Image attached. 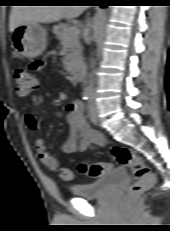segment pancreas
<instances>
[{
    "instance_id": "obj_1",
    "label": "pancreas",
    "mask_w": 170,
    "mask_h": 231,
    "mask_svg": "<svg viewBox=\"0 0 170 231\" xmlns=\"http://www.w3.org/2000/svg\"><path fill=\"white\" fill-rule=\"evenodd\" d=\"M71 27L69 24L59 23L53 27V33L66 49L63 64L66 69H71L77 65L81 58L82 47L79 43L78 34L66 38V31Z\"/></svg>"
}]
</instances>
